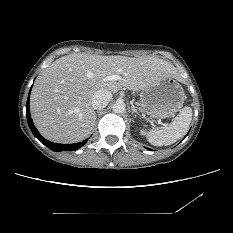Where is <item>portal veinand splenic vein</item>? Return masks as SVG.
Returning a JSON list of instances; mask_svg holds the SVG:
<instances>
[{"label":"portal vein and splenic vein","instance_id":"1","mask_svg":"<svg viewBox=\"0 0 233 233\" xmlns=\"http://www.w3.org/2000/svg\"><path fill=\"white\" fill-rule=\"evenodd\" d=\"M121 76L115 74V75H111V76H107L105 78H103V81H116V80H120Z\"/></svg>","mask_w":233,"mask_h":233}]
</instances>
